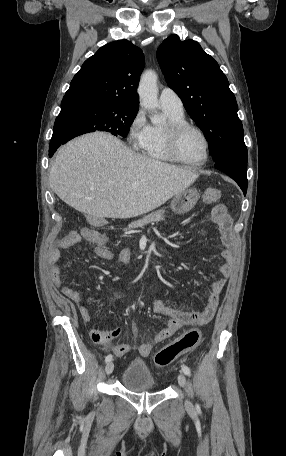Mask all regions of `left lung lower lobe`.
<instances>
[{
    "mask_svg": "<svg viewBox=\"0 0 286 456\" xmlns=\"http://www.w3.org/2000/svg\"><path fill=\"white\" fill-rule=\"evenodd\" d=\"M215 166L220 171L226 173L242 189L244 195L247 192V158H227L215 162Z\"/></svg>",
    "mask_w": 286,
    "mask_h": 456,
    "instance_id": "obj_1",
    "label": "left lung lower lobe"
}]
</instances>
